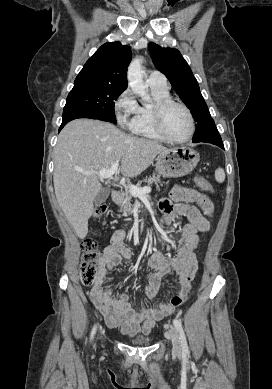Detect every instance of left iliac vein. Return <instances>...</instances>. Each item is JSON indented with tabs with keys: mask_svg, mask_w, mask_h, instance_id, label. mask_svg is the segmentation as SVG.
I'll return each mask as SVG.
<instances>
[{
	"mask_svg": "<svg viewBox=\"0 0 272 389\" xmlns=\"http://www.w3.org/2000/svg\"><path fill=\"white\" fill-rule=\"evenodd\" d=\"M169 337L172 341L173 351L175 353H180L181 352V342H180V337H179L178 331L175 327L170 328Z\"/></svg>",
	"mask_w": 272,
	"mask_h": 389,
	"instance_id": "1",
	"label": "left iliac vein"
}]
</instances>
